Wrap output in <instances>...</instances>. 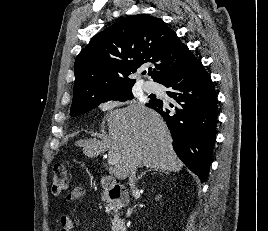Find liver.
<instances>
[{
  "label": "liver",
  "instance_id": "6515ba94",
  "mask_svg": "<svg viewBox=\"0 0 268 231\" xmlns=\"http://www.w3.org/2000/svg\"><path fill=\"white\" fill-rule=\"evenodd\" d=\"M108 135L103 140H80L77 145L89 157L109 151L118 156L113 173L119 180L130 175L134 167L179 172L183 163L172 147V137L162 117L141 103L106 114Z\"/></svg>",
  "mask_w": 268,
  "mask_h": 231
}]
</instances>
